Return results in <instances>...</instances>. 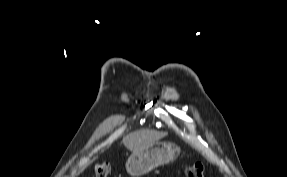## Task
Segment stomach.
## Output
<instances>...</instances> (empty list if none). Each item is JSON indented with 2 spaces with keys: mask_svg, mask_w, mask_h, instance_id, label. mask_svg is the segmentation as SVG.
Instances as JSON below:
<instances>
[{
  "mask_svg": "<svg viewBox=\"0 0 287 177\" xmlns=\"http://www.w3.org/2000/svg\"><path fill=\"white\" fill-rule=\"evenodd\" d=\"M180 148L169 142H155L143 149L132 151L126 162V170L132 177H140L154 168L173 162Z\"/></svg>",
  "mask_w": 287,
  "mask_h": 177,
  "instance_id": "stomach-1",
  "label": "stomach"
}]
</instances>
